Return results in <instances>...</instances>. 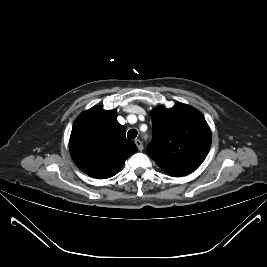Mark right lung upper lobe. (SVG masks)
<instances>
[{
	"mask_svg": "<svg viewBox=\"0 0 267 267\" xmlns=\"http://www.w3.org/2000/svg\"><path fill=\"white\" fill-rule=\"evenodd\" d=\"M115 110L93 107L74 122L69 148L78 168L87 175L105 179L117 174L125 160L137 151L125 136Z\"/></svg>",
	"mask_w": 267,
	"mask_h": 267,
	"instance_id": "cb5924a9",
	"label": "right lung upper lobe"
}]
</instances>
